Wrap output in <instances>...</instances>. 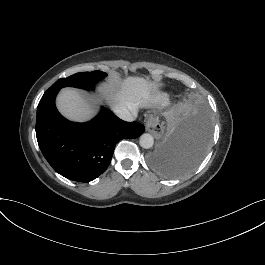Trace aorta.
<instances>
[{"label": "aorta", "instance_id": "aorta-1", "mask_svg": "<svg viewBox=\"0 0 265 265\" xmlns=\"http://www.w3.org/2000/svg\"><path fill=\"white\" fill-rule=\"evenodd\" d=\"M139 144L142 148L149 149L154 144V139L151 134L144 133L140 136Z\"/></svg>", "mask_w": 265, "mask_h": 265}]
</instances>
